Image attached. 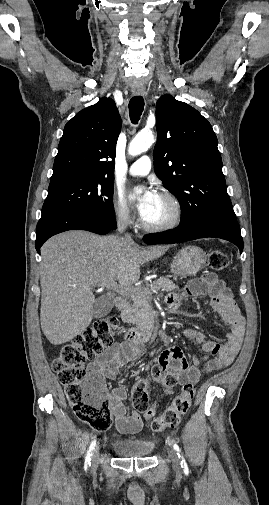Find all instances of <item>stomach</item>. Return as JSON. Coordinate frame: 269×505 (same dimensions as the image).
<instances>
[{
  "label": "stomach",
  "instance_id": "stomach-1",
  "mask_svg": "<svg viewBox=\"0 0 269 505\" xmlns=\"http://www.w3.org/2000/svg\"><path fill=\"white\" fill-rule=\"evenodd\" d=\"M206 262V253L199 247L187 246L174 257L171 272L181 277L197 274Z\"/></svg>",
  "mask_w": 269,
  "mask_h": 505
}]
</instances>
